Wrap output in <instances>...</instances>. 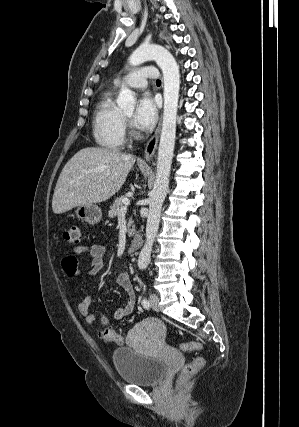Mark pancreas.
I'll return each instance as SVG.
<instances>
[{"mask_svg": "<svg viewBox=\"0 0 299 427\" xmlns=\"http://www.w3.org/2000/svg\"><path fill=\"white\" fill-rule=\"evenodd\" d=\"M124 199L125 198L123 196L116 198V200L114 201L113 205L110 207V210H109L108 215L110 218L116 217L120 214V209L124 205L123 204ZM127 226H128V236L131 237L134 235V232H135V226L132 218L129 219Z\"/></svg>", "mask_w": 299, "mask_h": 427, "instance_id": "1", "label": "pancreas"}]
</instances>
